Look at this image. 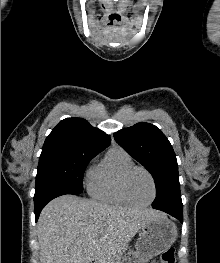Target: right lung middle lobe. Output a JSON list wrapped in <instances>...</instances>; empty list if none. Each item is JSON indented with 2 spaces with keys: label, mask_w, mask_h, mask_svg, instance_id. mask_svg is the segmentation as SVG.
<instances>
[{
  "label": "right lung middle lobe",
  "mask_w": 220,
  "mask_h": 263,
  "mask_svg": "<svg viewBox=\"0 0 220 263\" xmlns=\"http://www.w3.org/2000/svg\"><path fill=\"white\" fill-rule=\"evenodd\" d=\"M97 153L73 150L42 151L36 176L35 196L50 190L83 191V174Z\"/></svg>",
  "instance_id": "obj_1"
}]
</instances>
